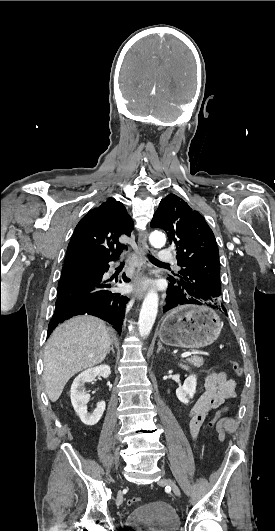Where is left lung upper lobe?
<instances>
[{
    "mask_svg": "<svg viewBox=\"0 0 275 531\" xmlns=\"http://www.w3.org/2000/svg\"><path fill=\"white\" fill-rule=\"evenodd\" d=\"M151 227L163 229L177 251L178 274L169 275L167 295L178 304L213 308L220 303V262L216 239L199 212L175 194L163 199Z\"/></svg>",
    "mask_w": 275,
    "mask_h": 531,
    "instance_id": "obj_1",
    "label": "left lung upper lobe"
}]
</instances>
